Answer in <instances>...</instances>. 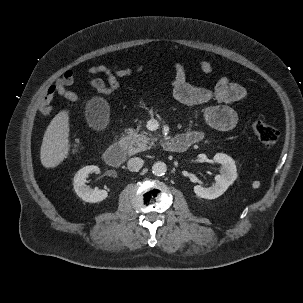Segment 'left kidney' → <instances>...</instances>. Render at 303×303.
Segmentation results:
<instances>
[{"instance_id":"left-kidney-1","label":"left kidney","mask_w":303,"mask_h":303,"mask_svg":"<svg viewBox=\"0 0 303 303\" xmlns=\"http://www.w3.org/2000/svg\"><path fill=\"white\" fill-rule=\"evenodd\" d=\"M213 160L221 165V174L215 176V183L210 187L194 186V192L200 198L215 199L221 196L237 178L235 161L230 156L217 153Z\"/></svg>"}]
</instances>
